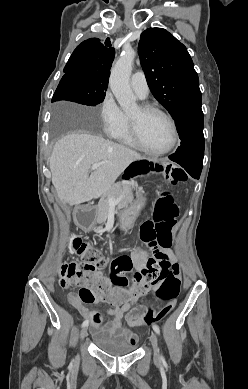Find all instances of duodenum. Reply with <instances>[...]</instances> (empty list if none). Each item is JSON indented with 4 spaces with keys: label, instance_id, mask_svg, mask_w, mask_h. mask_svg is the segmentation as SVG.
I'll return each mask as SVG.
<instances>
[{
    "label": "duodenum",
    "instance_id": "1",
    "mask_svg": "<svg viewBox=\"0 0 248 389\" xmlns=\"http://www.w3.org/2000/svg\"><path fill=\"white\" fill-rule=\"evenodd\" d=\"M96 206V202L94 200H91L89 202V205L85 208H82L78 214H77V220H78V223L81 225V227L84 229V230H90L92 229L93 225L90 224V221L91 220H84V213H91L90 212V209L91 208H94Z\"/></svg>",
    "mask_w": 248,
    "mask_h": 389
}]
</instances>
